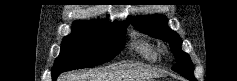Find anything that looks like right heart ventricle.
<instances>
[{"label":"right heart ventricle","mask_w":237,"mask_h":81,"mask_svg":"<svg viewBox=\"0 0 237 81\" xmlns=\"http://www.w3.org/2000/svg\"><path fill=\"white\" fill-rule=\"evenodd\" d=\"M133 47L137 50V52L144 57L147 61L156 62L157 60V52L154 46L151 44L141 41L134 43Z\"/></svg>","instance_id":"right-heart-ventricle-1"}]
</instances>
